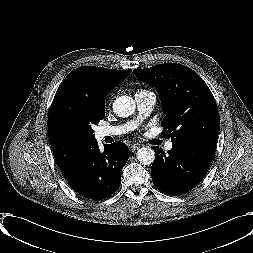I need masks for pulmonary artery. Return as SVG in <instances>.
I'll return each mask as SVG.
<instances>
[{"mask_svg": "<svg viewBox=\"0 0 253 253\" xmlns=\"http://www.w3.org/2000/svg\"><path fill=\"white\" fill-rule=\"evenodd\" d=\"M135 100L138 105V112H139L138 117L135 120L125 124L102 127L99 131L100 137L103 138L107 136H117L128 133L129 131L136 128L141 120L145 119L152 113L156 102V96L153 92L150 91L137 92L135 94ZM172 147L173 144L171 141L166 142L164 145V148L166 150H171Z\"/></svg>", "mask_w": 253, "mask_h": 253, "instance_id": "obj_1", "label": "pulmonary artery"}]
</instances>
